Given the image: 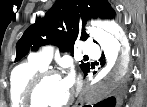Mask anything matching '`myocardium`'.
Listing matches in <instances>:
<instances>
[{
	"instance_id": "myocardium-1",
	"label": "myocardium",
	"mask_w": 147,
	"mask_h": 107,
	"mask_svg": "<svg viewBox=\"0 0 147 107\" xmlns=\"http://www.w3.org/2000/svg\"><path fill=\"white\" fill-rule=\"evenodd\" d=\"M52 77H61L60 73L52 68H44L40 72H38L30 81L28 84L26 91H25V96H24V101L26 107H47V106H41L39 105L37 101V93L42 86V84L49 78ZM73 101V94H70L68 99L58 105V106H50V107H67L69 106Z\"/></svg>"
}]
</instances>
